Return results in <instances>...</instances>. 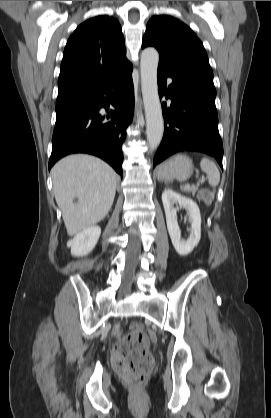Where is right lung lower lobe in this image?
I'll return each instance as SVG.
<instances>
[{
  "label": "right lung lower lobe",
  "instance_id": "obj_1",
  "mask_svg": "<svg viewBox=\"0 0 271 418\" xmlns=\"http://www.w3.org/2000/svg\"><path fill=\"white\" fill-rule=\"evenodd\" d=\"M109 105L106 115L99 113ZM134 88L132 67L107 83L97 94L65 104L56 109L49 169L60 158L72 153L96 155L108 162L122 176V143L132 121Z\"/></svg>",
  "mask_w": 271,
  "mask_h": 418
}]
</instances>
